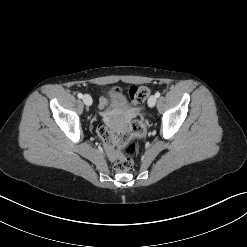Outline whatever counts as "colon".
Wrapping results in <instances>:
<instances>
[{"label": "colon", "instance_id": "1", "mask_svg": "<svg viewBox=\"0 0 247 247\" xmlns=\"http://www.w3.org/2000/svg\"><path fill=\"white\" fill-rule=\"evenodd\" d=\"M150 93L148 87L132 86L128 90L131 105L142 103ZM99 134L104 145L114 160L117 171L126 172L132 169L134 156L138 150V140L145 134L144 125L140 121H134L126 132L114 134L105 125L100 126Z\"/></svg>", "mask_w": 247, "mask_h": 247}]
</instances>
